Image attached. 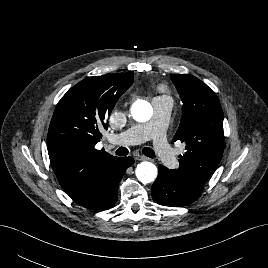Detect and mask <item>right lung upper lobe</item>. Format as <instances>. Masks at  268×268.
Segmentation results:
<instances>
[{
	"label": "right lung upper lobe",
	"instance_id": "cb5924a9",
	"mask_svg": "<svg viewBox=\"0 0 268 268\" xmlns=\"http://www.w3.org/2000/svg\"><path fill=\"white\" fill-rule=\"evenodd\" d=\"M133 80V71L87 77L55 108L47 136L48 154L61 187L78 204L118 159L95 145L108 128L107 117Z\"/></svg>",
	"mask_w": 268,
	"mask_h": 268
}]
</instances>
